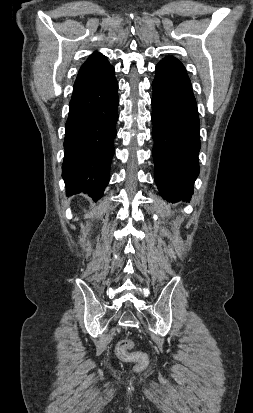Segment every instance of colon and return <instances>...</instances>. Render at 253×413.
Listing matches in <instances>:
<instances>
[{"label": "colon", "mask_w": 253, "mask_h": 413, "mask_svg": "<svg viewBox=\"0 0 253 413\" xmlns=\"http://www.w3.org/2000/svg\"><path fill=\"white\" fill-rule=\"evenodd\" d=\"M133 347L134 342L132 339H122L116 346V354L122 361L134 362L136 370H142L148 364V357L143 352H133Z\"/></svg>", "instance_id": "5ec220e1"}]
</instances>
